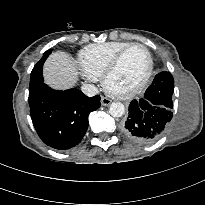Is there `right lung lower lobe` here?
I'll return each instance as SVG.
<instances>
[{"instance_id": "obj_1", "label": "right lung lower lobe", "mask_w": 205, "mask_h": 205, "mask_svg": "<svg viewBox=\"0 0 205 205\" xmlns=\"http://www.w3.org/2000/svg\"><path fill=\"white\" fill-rule=\"evenodd\" d=\"M48 50L34 66L29 86V106L33 125L41 140L50 147L64 150L77 145L88 128L90 112L101 105L100 96L87 97L72 88L57 91L43 81L42 67Z\"/></svg>"}]
</instances>
